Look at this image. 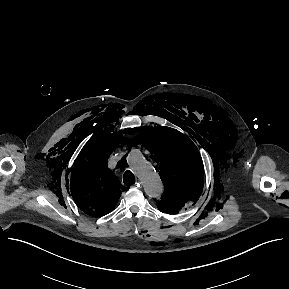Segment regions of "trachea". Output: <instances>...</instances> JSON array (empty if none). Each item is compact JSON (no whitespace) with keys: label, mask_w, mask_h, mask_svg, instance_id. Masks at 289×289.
<instances>
[{"label":"trachea","mask_w":289,"mask_h":289,"mask_svg":"<svg viewBox=\"0 0 289 289\" xmlns=\"http://www.w3.org/2000/svg\"><path fill=\"white\" fill-rule=\"evenodd\" d=\"M123 182L125 185H133L135 183V176L131 171H126L123 175Z\"/></svg>","instance_id":"obj_1"}]
</instances>
